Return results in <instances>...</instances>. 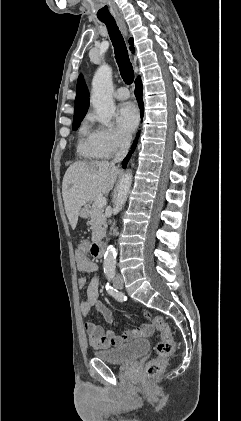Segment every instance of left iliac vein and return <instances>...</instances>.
Segmentation results:
<instances>
[{
	"mask_svg": "<svg viewBox=\"0 0 241 421\" xmlns=\"http://www.w3.org/2000/svg\"><path fill=\"white\" fill-rule=\"evenodd\" d=\"M115 288L121 290L123 288V279L122 277H117L114 281Z\"/></svg>",
	"mask_w": 241,
	"mask_h": 421,
	"instance_id": "1",
	"label": "left iliac vein"
}]
</instances>
